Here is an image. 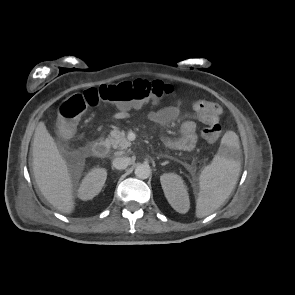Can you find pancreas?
<instances>
[{"label": "pancreas", "mask_w": 295, "mask_h": 295, "mask_svg": "<svg viewBox=\"0 0 295 295\" xmlns=\"http://www.w3.org/2000/svg\"><path fill=\"white\" fill-rule=\"evenodd\" d=\"M108 141L114 149L126 150L131 146V143L127 140L124 131L113 130L111 131ZM122 153L124 151H121Z\"/></svg>", "instance_id": "obj_1"}]
</instances>
